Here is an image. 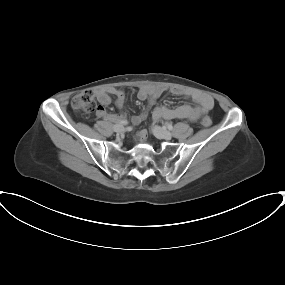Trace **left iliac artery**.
I'll return each instance as SVG.
<instances>
[{"mask_svg": "<svg viewBox=\"0 0 285 285\" xmlns=\"http://www.w3.org/2000/svg\"><path fill=\"white\" fill-rule=\"evenodd\" d=\"M166 126H167V128H168L169 130H173V126H172V124L167 123V124H166Z\"/></svg>", "mask_w": 285, "mask_h": 285, "instance_id": "44dca946", "label": "left iliac artery"}]
</instances>
